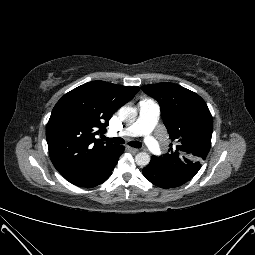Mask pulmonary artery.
<instances>
[{
  "mask_svg": "<svg viewBox=\"0 0 255 255\" xmlns=\"http://www.w3.org/2000/svg\"><path fill=\"white\" fill-rule=\"evenodd\" d=\"M160 116L159 105L151 99H143L139 103L137 120L119 132L120 136H143L148 149L154 154L161 153V146L151 134Z\"/></svg>",
  "mask_w": 255,
  "mask_h": 255,
  "instance_id": "pulmonary-artery-1",
  "label": "pulmonary artery"
}]
</instances>
